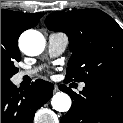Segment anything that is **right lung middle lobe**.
Listing matches in <instances>:
<instances>
[{
    "mask_svg": "<svg viewBox=\"0 0 123 123\" xmlns=\"http://www.w3.org/2000/svg\"><path fill=\"white\" fill-rule=\"evenodd\" d=\"M17 41L18 37L11 26L1 24V83L10 81V78L18 72V68L15 67L16 62L20 61Z\"/></svg>",
    "mask_w": 123,
    "mask_h": 123,
    "instance_id": "right-lung-middle-lobe-1",
    "label": "right lung middle lobe"
}]
</instances>
